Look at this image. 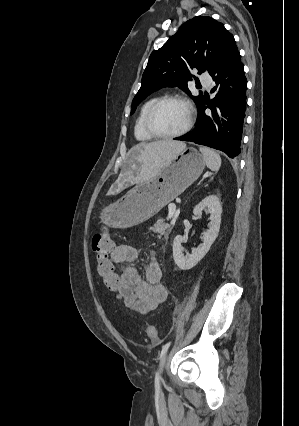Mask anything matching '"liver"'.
<instances>
[{"label":"liver","instance_id":"6515ba94","mask_svg":"<svg viewBox=\"0 0 299 426\" xmlns=\"http://www.w3.org/2000/svg\"><path fill=\"white\" fill-rule=\"evenodd\" d=\"M185 148L184 142L173 140L136 145L130 151V165L137 171L135 180L144 182L155 178L160 170Z\"/></svg>","mask_w":299,"mask_h":426}]
</instances>
